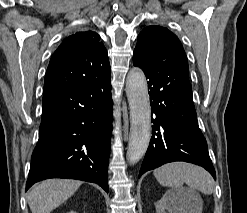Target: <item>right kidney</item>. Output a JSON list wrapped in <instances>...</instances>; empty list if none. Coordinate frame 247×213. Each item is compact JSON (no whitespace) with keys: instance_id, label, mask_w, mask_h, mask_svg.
Returning <instances> with one entry per match:
<instances>
[{"instance_id":"ca27d5eb","label":"right kidney","mask_w":247,"mask_h":213,"mask_svg":"<svg viewBox=\"0 0 247 213\" xmlns=\"http://www.w3.org/2000/svg\"><path fill=\"white\" fill-rule=\"evenodd\" d=\"M69 213H76V212H74V211H70Z\"/></svg>"}]
</instances>
